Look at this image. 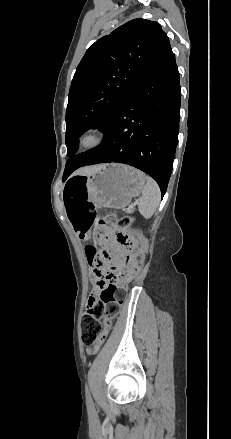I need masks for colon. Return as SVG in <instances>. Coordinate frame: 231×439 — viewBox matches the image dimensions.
I'll list each match as a JSON object with an SVG mask.
<instances>
[{"label": "colon", "mask_w": 231, "mask_h": 439, "mask_svg": "<svg viewBox=\"0 0 231 439\" xmlns=\"http://www.w3.org/2000/svg\"><path fill=\"white\" fill-rule=\"evenodd\" d=\"M86 191V182L81 179L69 181L64 188V198L71 208V219L76 230L85 233L94 226L112 224L118 229L114 235L115 242L127 250L124 260L120 262L111 260L109 262L111 269H116L120 264L124 265L120 273L100 274L101 280L109 281V286L100 293L99 302L89 305L82 317V342L90 353H94L97 350L95 344L106 338L112 321L117 317L124 303L129 284L142 267L143 252L147 249V243L142 237L134 238L127 232L128 218L115 214L98 217L91 203L81 198ZM103 237L107 239L106 235ZM136 242L139 243L140 247L136 246ZM87 255L89 262H94L97 256L96 248L87 249Z\"/></svg>", "instance_id": "5ec220e1"}]
</instances>
